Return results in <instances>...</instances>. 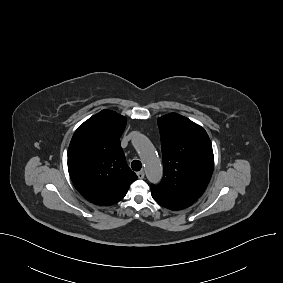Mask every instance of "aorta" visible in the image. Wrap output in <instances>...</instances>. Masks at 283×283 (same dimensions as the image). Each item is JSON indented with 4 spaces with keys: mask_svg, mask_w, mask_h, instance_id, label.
<instances>
[{
    "mask_svg": "<svg viewBox=\"0 0 283 283\" xmlns=\"http://www.w3.org/2000/svg\"><path fill=\"white\" fill-rule=\"evenodd\" d=\"M133 145L140 153L147 179L157 184L162 177V167L150 141L143 135H137L133 139Z\"/></svg>",
    "mask_w": 283,
    "mask_h": 283,
    "instance_id": "1",
    "label": "aorta"
}]
</instances>
